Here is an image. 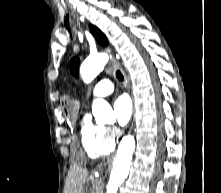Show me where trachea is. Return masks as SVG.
I'll use <instances>...</instances> for the list:
<instances>
[{
    "label": "trachea",
    "instance_id": "1",
    "mask_svg": "<svg viewBox=\"0 0 221 193\" xmlns=\"http://www.w3.org/2000/svg\"><path fill=\"white\" fill-rule=\"evenodd\" d=\"M116 77L118 78L119 81H123L124 79L122 73L119 70L116 71Z\"/></svg>",
    "mask_w": 221,
    "mask_h": 193
}]
</instances>
